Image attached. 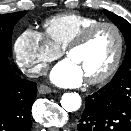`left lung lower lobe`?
<instances>
[{
	"mask_svg": "<svg viewBox=\"0 0 131 131\" xmlns=\"http://www.w3.org/2000/svg\"><path fill=\"white\" fill-rule=\"evenodd\" d=\"M85 99L78 131H131V77L112 80Z\"/></svg>",
	"mask_w": 131,
	"mask_h": 131,
	"instance_id": "obj_1",
	"label": "left lung lower lobe"
}]
</instances>
